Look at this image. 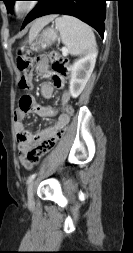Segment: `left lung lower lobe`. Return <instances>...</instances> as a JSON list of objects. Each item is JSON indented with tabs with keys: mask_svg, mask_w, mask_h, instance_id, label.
<instances>
[{
	"mask_svg": "<svg viewBox=\"0 0 133 253\" xmlns=\"http://www.w3.org/2000/svg\"><path fill=\"white\" fill-rule=\"evenodd\" d=\"M40 3L27 16L23 27L48 14H66L79 18L104 36L107 0H35Z\"/></svg>",
	"mask_w": 133,
	"mask_h": 253,
	"instance_id": "obj_1",
	"label": "left lung lower lobe"
}]
</instances>
